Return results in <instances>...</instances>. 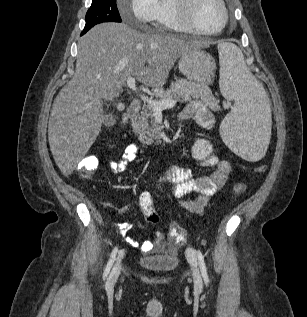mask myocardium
<instances>
[{
    "label": "myocardium",
    "instance_id": "obj_1",
    "mask_svg": "<svg viewBox=\"0 0 307 317\" xmlns=\"http://www.w3.org/2000/svg\"><path fill=\"white\" fill-rule=\"evenodd\" d=\"M217 2L222 9L223 19L221 25L213 31L201 30L195 24L193 19V9L197 3V0H174V6L179 21L189 32L203 36H211L223 31L229 20V11L224 0H217Z\"/></svg>",
    "mask_w": 307,
    "mask_h": 317
}]
</instances>
